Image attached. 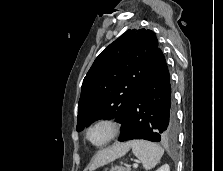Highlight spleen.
<instances>
[{
  "label": "spleen",
  "instance_id": "obj_1",
  "mask_svg": "<svg viewBox=\"0 0 223 171\" xmlns=\"http://www.w3.org/2000/svg\"><path fill=\"white\" fill-rule=\"evenodd\" d=\"M133 154L142 162L146 170L154 168L164 154V150L156 143L145 140L129 142Z\"/></svg>",
  "mask_w": 223,
  "mask_h": 171
}]
</instances>
